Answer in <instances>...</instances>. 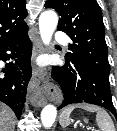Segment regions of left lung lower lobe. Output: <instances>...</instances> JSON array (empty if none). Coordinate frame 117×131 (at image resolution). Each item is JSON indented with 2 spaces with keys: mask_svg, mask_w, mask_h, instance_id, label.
Returning a JSON list of instances; mask_svg holds the SVG:
<instances>
[{
  "mask_svg": "<svg viewBox=\"0 0 117 131\" xmlns=\"http://www.w3.org/2000/svg\"><path fill=\"white\" fill-rule=\"evenodd\" d=\"M52 78L61 86L64 100L59 107L73 103H90L109 110L117 119L109 82L82 63L66 59L63 67L52 68Z\"/></svg>",
  "mask_w": 117,
  "mask_h": 131,
  "instance_id": "1",
  "label": "left lung lower lobe"
}]
</instances>
